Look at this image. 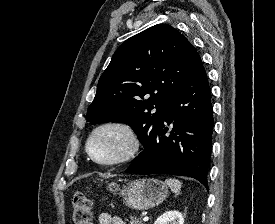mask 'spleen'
Returning <instances> with one entry per match:
<instances>
[{"label": "spleen", "instance_id": "3e777b00", "mask_svg": "<svg viewBox=\"0 0 275 224\" xmlns=\"http://www.w3.org/2000/svg\"><path fill=\"white\" fill-rule=\"evenodd\" d=\"M166 184L170 187L171 191L175 194H180L182 183L177 179H166Z\"/></svg>", "mask_w": 275, "mask_h": 224}]
</instances>
